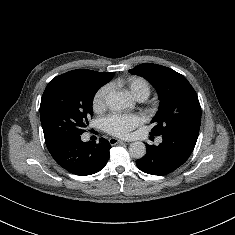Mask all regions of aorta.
<instances>
[{"label":"aorta","instance_id":"1","mask_svg":"<svg viewBox=\"0 0 235 235\" xmlns=\"http://www.w3.org/2000/svg\"><path fill=\"white\" fill-rule=\"evenodd\" d=\"M106 104L112 111L124 110L130 106V102L121 93L109 94L106 98ZM129 153L133 158L140 159L146 153V146L141 141H136L130 144Z\"/></svg>","mask_w":235,"mask_h":235}]
</instances>
